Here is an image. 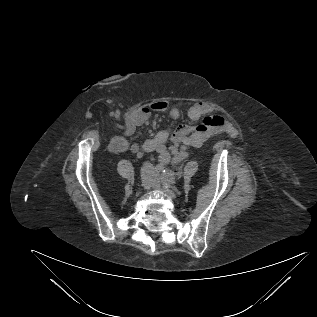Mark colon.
Returning a JSON list of instances; mask_svg holds the SVG:
<instances>
[{
	"label": "colon",
	"instance_id": "colon-1",
	"mask_svg": "<svg viewBox=\"0 0 317 317\" xmlns=\"http://www.w3.org/2000/svg\"><path fill=\"white\" fill-rule=\"evenodd\" d=\"M150 113V109L149 108H144L141 111V116H146Z\"/></svg>",
	"mask_w": 317,
	"mask_h": 317
}]
</instances>
